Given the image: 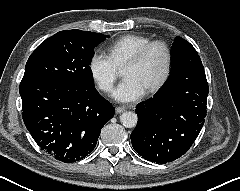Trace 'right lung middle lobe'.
<instances>
[{
	"label": "right lung middle lobe",
	"instance_id": "right-lung-middle-lobe-1",
	"mask_svg": "<svg viewBox=\"0 0 240 191\" xmlns=\"http://www.w3.org/2000/svg\"><path fill=\"white\" fill-rule=\"evenodd\" d=\"M106 37L77 29L56 33L30 55L23 79H53L84 90L94 88L89 65L94 47Z\"/></svg>",
	"mask_w": 240,
	"mask_h": 191
}]
</instances>
